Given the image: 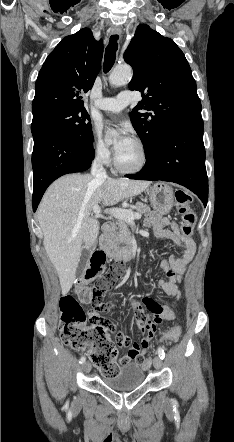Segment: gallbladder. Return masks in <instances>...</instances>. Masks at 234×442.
Returning <instances> with one entry per match:
<instances>
[{
  "mask_svg": "<svg viewBox=\"0 0 234 442\" xmlns=\"http://www.w3.org/2000/svg\"><path fill=\"white\" fill-rule=\"evenodd\" d=\"M91 250L92 249L84 250L81 254V257H80V260L78 262V266L76 269V278L77 279H80L86 270L87 262H88V258L90 256Z\"/></svg>",
  "mask_w": 234,
  "mask_h": 442,
  "instance_id": "obj_1",
  "label": "gallbladder"
}]
</instances>
